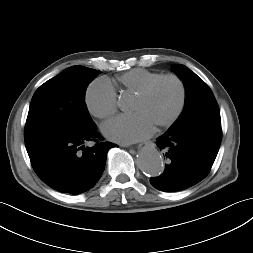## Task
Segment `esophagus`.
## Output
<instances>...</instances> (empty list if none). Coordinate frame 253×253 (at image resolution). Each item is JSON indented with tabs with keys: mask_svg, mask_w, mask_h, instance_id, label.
Wrapping results in <instances>:
<instances>
[{
	"mask_svg": "<svg viewBox=\"0 0 253 253\" xmlns=\"http://www.w3.org/2000/svg\"><path fill=\"white\" fill-rule=\"evenodd\" d=\"M147 144H149V142L141 143V144L138 145V148H140V147H142V146H144V145H147Z\"/></svg>",
	"mask_w": 253,
	"mask_h": 253,
	"instance_id": "34e87169",
	"label": "esophagus"
}]
</instances>
